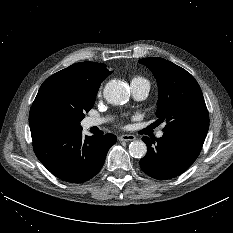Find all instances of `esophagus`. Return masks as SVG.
<instances>
[{"label":"esophagus","mask_w":233,"mask_h":233,"mask_svg":"<svg viewBox=\"0 0 233 233\" xmlns=\"http://www.w3.org/2000/svg\"><path fill=\"white\" fill-rule=\"evenodd\" d=\"M120 141H133L136 139L134 135L131 134H123L118 137Z\"/></svg>","instance_id":"1"}]
</instances>
